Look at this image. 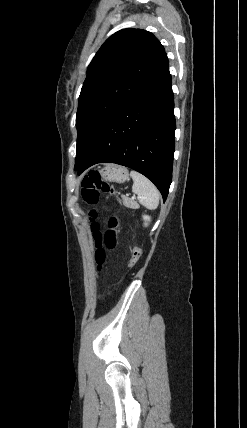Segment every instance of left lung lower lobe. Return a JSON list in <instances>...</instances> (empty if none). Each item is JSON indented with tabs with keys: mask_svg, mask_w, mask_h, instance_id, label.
<instances>
[{
	"mask_svg": "<svg viewBox=\"0 0 247 428\" xmlns=\"http://www.w3.org/2000/svg\"><path fill=\"white\" fill-rule=\"evenodd\" d=\"M168 64L118 107L100 132L78 174L101 162L130 167L150 179L165 201L172 180L176 129Z\"/></svg>",
	"mask_w": 247,
	"mask_h": 428,
	"instance_id": "0a47b994",
	"label": "left lung lower lobe"
}]
</instances>
